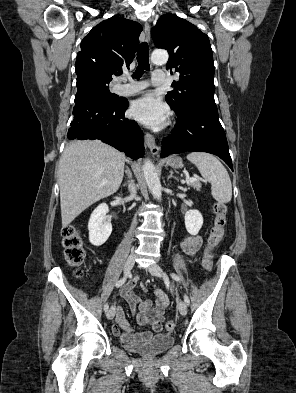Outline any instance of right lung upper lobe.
<instances>
[{
    "label": "right lung upper lobe",
    "instance_id": "right-lung-upper-lobe-1",
    "mask_svg": "<svg viewBox=\"0 0 296 393\" xmlns=\"http://www.w3.org/2000/svg\"><path fill=\"white\" fill-rule=\"evenodd\" d=\"M141 31L139 23L117 16L99 23L81 42L75 63L76 74L110 82L123 65L129 68Z\"/></svg>",
    "mask_w": 296,
    "mask_h": 393
}]
</instances>
